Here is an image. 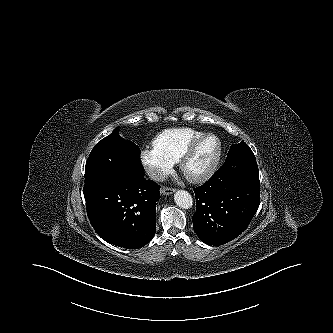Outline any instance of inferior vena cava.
I'll return each mask as SVG.
<instances>
[{
  "instance_id": "obj_1",
  "label": "inferior vena cava",
  "mask_w": 333,
  "mask_h": 333,
  "mask_svg": "<svg viewBox=\"0 0 333 333\" xmlns=\"http://www.w3.org/2000/svg\"><path fill=\"white\" fill-rule=\"evenodd\" d=\"M147 174L151 179L155 181L163 182L167 178L166 172L158 168H148Z\"/></svg>"
}]
</instances>
